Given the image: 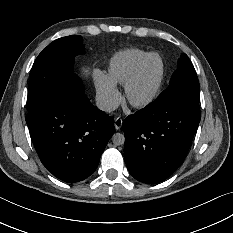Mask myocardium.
I'll return each instance as SVG.
<instances>
[{"instance_id": "f54148a6", "label": "myocardium", "mask_w": 233, "mask_h": 233, "mask_svg": "<svg viewBox=\"0 0 233 233\" xmlns=\"http://www.w3.org/2000/svg\"><path fill=\"white\" fill-rule=\"evenodd\" d=\"M154 56H159L163 59V74H162L161 80L158 84V87H157L155 93L152 95L151 98H149L146 101H135L131 97V89L134 86V84L137 82V80L140 78L141 74L143 73L145 68L148 66L150 60ZM167 76H168V65H167L165 57L159 52H151L142 61V63L136 68V70L131 74V76L126 80V82L124 84V93H125L126 99L135 108L146 109V108L150 107L151 105L156 103L159 100V98L161 97L162 92H163L164 87H165V84H166Z\"/></svg>"}]
</instances>
